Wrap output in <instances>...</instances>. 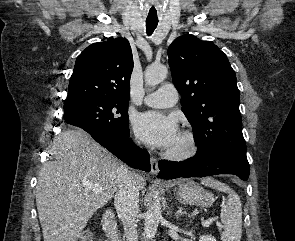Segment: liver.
<instances>
[{"instance_id": "1", "label": "liver", "mask_w": 295, "mask_h": 241, "mask_svg": "<svg viewBox=\"0 0 295 241\" xmlns=\"http://www.w3.org/2000/svg\"><path fill=\"white\" fill-rule=\"evenodd\" d=\"M38 175L36 204L44 241H77L88 220L117 191L122 163L81 130L59 134ZM139 189L145 180L133 173ZM97 184L103 192L89 189Z\"/></svg>"}]
</instances>
